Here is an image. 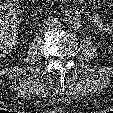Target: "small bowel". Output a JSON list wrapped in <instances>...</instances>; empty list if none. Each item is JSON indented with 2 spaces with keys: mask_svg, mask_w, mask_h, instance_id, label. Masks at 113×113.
<instances>
[{
  "mask_svg": "<svg viewBox=\"0 0 113 113\" xmlns=\"http://www.w3.org/2000/svg\"><path fill=\"white\" fill-rule=\"evenodd\" d=\"M91 20L103 33L113 36V25L105 23L99 16H92Z\"/></svg>",
  "mask_w": 113,
  "mask_h": 113,
  "instance_id": "c3829d8e",
  "label": "small bowel"
}]
</instances>
